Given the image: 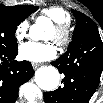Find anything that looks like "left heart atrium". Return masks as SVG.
Segmentation results:
<instances>
[{"label": "left heart atrium", "mask_w": 103, "mask_h": 103, "mask_svg": "<svg viewBox=\"0 0 103 103\" xmlns=\"http://www.w3.org/2000/svg\"><path fill=\"white\" fill-rule=\"evenodd\" d=\"M56 48L52 43L29 41L19 47V57L30 62H43L56 56Z\"/></svg>", "instance_id": "left-heart-atrium-1"}]
</instances>
